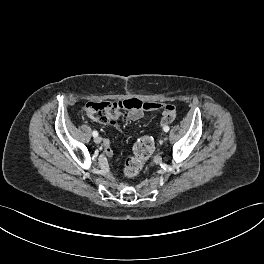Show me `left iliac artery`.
I'll return each mask as SVG.
<instances>
[{
	"label": "left iliac artery",
	"mask_w": 264,
	"mask_h": 264,
	"mask_svg": "<svg viewBox=\"0 0 264 264\" xmlns=\"http://www.w3.org/2000/svg\"><path fill=\"white\" fill-rule=\"evenodd\" d=\"M163 130H164L165 132H168V131H169V127H168V126H164V127H163Z\"/></svg>",
	"instance_id": "left-iliac-artery-1"
}]
</instances>
